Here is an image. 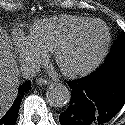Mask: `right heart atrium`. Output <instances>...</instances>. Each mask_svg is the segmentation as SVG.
I'll return each instance as SVG.
<instances>
[{"label":"right heart atrium","instance_id":"obj_1","mask_svg":"<svg viewBox=\"0 0 125 125\" xmlns=\"http://www.w3.org/2000/svg\"><path fill=\"white\" fill-rule=\"evenodd\" d=\"M14 46L21 63L29 70L36 68L46 56V54L35 45L31 36L24 33L16 36Z\"/></svg>","mask_w":125,"mask_h":125}]
</instances>
